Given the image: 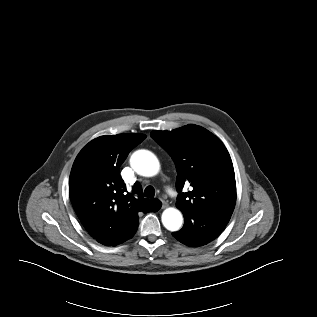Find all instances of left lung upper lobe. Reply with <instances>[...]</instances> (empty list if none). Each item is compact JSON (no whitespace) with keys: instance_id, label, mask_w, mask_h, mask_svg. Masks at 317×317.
Masks as SVG:
<instances>
[{"instance_id":"1","label":"left lung upper lobe","mask_w":317,"mask_h":317,"mask_svg":"<svg viewBox=\"0 0 317 317\" xmlns=\"http://www.w3.org/2000/svg\"><path fill=\"white\" fill-rule=\"evenodd\" d=\"M151 137L172 157L176 170V205L183 214L214 211L232 215L236 203L235 174L230 155L211 132L197 125L153 131ZM184 185L190 191L182 193Z\"/></svg>"}]
</instances>
